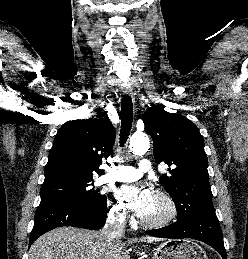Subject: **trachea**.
I'll return each mask as SVG.
<instances>
[{"label":"trachea","instance_id":"1","mask_svg":"<svg viewBox=\"0 0 248 259\" xmlns=\"http://www.w3.org/2000/svg\"><path fill=\"white\" fill-rule=\"evenodd\" d=\"M133 122V104L131 97L123 96L121 100V130H120V145L123 146L129 136Z\"/></svg>","mask_w":248,"mask_h":259}]
</instances>
